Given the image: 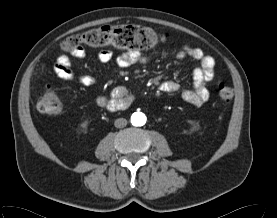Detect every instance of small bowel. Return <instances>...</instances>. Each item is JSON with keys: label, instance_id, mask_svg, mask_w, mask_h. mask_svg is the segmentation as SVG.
Segmentation results:
<instances>
[{"label": "small bowel", "instance_id": "1", "mask_svg": "<svg viewBox=\"0 0 277 218\" xmlns=\"http://www.w3.org/2000/svg\"><path fill=\"white\" fill-rule=\"evenodd\" d=\"M72 56L76 59H84L87 53L84 48L80 47L72 52ZM191 58L199 61L200 66L194 69L192 73L193 89L182 92V98L186 102L201 106L209 99V91L206 84L211 81L215 75V61L213 57L206 55L201 49L183 45L178 53V58ZM94 61L105 64L113 59V53L110 50H101L93 57ZM149 58L137 52H124L115 58L116 65L120 68L130 67L132 65L145 64ZM55 74L65 80L77 79L80 84L86 87H92L97 84V78L84 74L76 76L73 70V63L69 56L61 55L54 64ZM180 89V85L174 81H165L160 84L162 92H176ZM127 93L126 88L118 86L114 88L113 94L121 97Z\"/></svg>", "mask_w": 277, "mask_h": 218}]
</instances>
